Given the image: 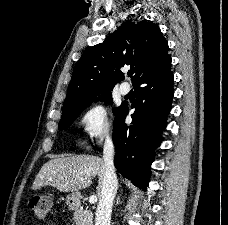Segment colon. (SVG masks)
<instances>
[{
  "mask_svg": "<svg viewBox=\"0 0 228 225\" xmlns=\"http://www.w3.org/2000/svg\"><path fill=\"white\" fill-rule=\"evenodd\" d=\"M29 209L32 215L40 221H45L49 215L50 208L53 204L50 203V198L45 195H32L28 199Z\"/></svg>",
  "mask_w": 228,
  "mask_h": 225,
  "instance_id": "5ec220e1",
  "label": "colon"
}]
</instances>
